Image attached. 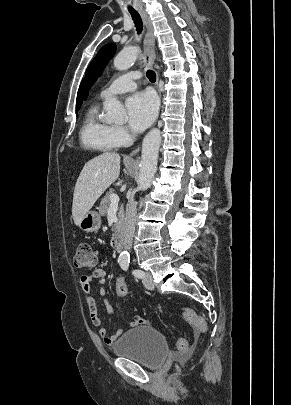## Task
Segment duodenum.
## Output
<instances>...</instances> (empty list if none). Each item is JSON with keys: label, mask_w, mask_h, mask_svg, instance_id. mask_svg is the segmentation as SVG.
Here are the masks:
<instances>
[{"label": "duodenum", "mask_w": 291, "mask_h": 405, "mask_svg": "<svg viewBox=\"0 0 291 405\" xmlns=\"http://www.w3.org/2000/svg\"><path fill=\"white\" fill-rule=\"evenodd\" d=\"M122 240H123L122 231L117 230L111 240V246L113 247V249L119 251L122 247Z\"/></svg>", "instance_id": "1"}]
</instances>
